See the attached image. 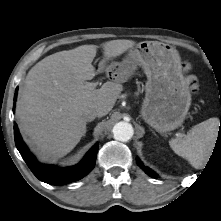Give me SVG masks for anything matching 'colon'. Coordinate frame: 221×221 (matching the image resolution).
<instances>
[{"mask_svg": "<svg viewBox=\"0 0 221 221\" xmlns=\"http://www.w3.org/2000/svg\"><path fill=\"white\" fill-rule=\"evenodd\" d=\"M184 70L188 72L190 70V65L186 63L184 65ZM186 83L190 91L192 92L197 91L199 87V82H198V79L194 75H188L186 78Z\"/></svg>", "mask_w": 221, "mask_h": 221, "instance_id": "1", "label": "colon"}]
</instances>
